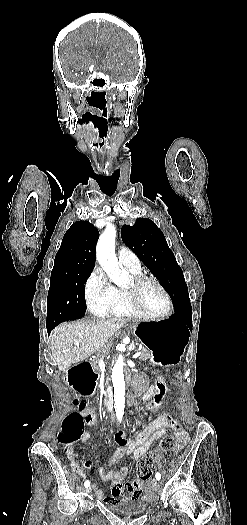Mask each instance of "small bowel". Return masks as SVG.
I'll list each match as a JSON object with an SVG mask.
<instances>
[{"label": "small bowel", "mask_w": 247, "mask_h": 525, "mask_svg": "<svg viewBox=\"0 0 247 525\" xmlns=\"http://www.w3.org/2000/svg\"><path fill=\"white\" fill-rule=\"evenodd\" d=\"M146 399H154L153 387H150V389L143 394L142 400L145 402ZM168 428H173L176 432V437L183 440L184 443L188 440V436L180 426L179 422L167 414L157 417L132 437H127L122 431L115 433L114 439L118 444V448L111 455L108 462L98 468L100 479L105 482H111L113 485L110 494L103 496L105 506H120L123 504L124 499L121 496V486L130 473V470L126 467L121 468L119 471H112V466L123 460L127 455H131L135 461L140 460L149 451L151 446L165 435ZM93 438L94 434L86 431L83 433L80 440L81 442L86 443ZM68 457L72 470L82 479H87L88 473L82 468V460L78 455L70 450ZM156 458L158 462H162V456L160 454L157 453ZM141 485L142 482L138 478L132 479L131 482H125L123 485L125 494H129V492L133 490L135 497L130 499H138V497L142 496L144 493ZM94 494L95 496L100 497L102 496L103 491L100 488H95Z\"/></svg>", "instance_id": "c3829d8e"}]
</instances>
